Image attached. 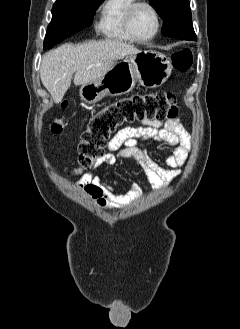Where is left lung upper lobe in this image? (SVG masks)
<instances>
[{
  "mask_svg": "<svg viewBox=\"0 0 240 329\" xmlns=\"http://www.w3.org/2000/svg\"><path fill=\"white\" fill-rule=\"evenodd\" d=\"M164 19L162 34L183 40H196L189 0H149Z\"/></svg>",
  "mask_w": 240,
  "mask_h": 329,
  "instance_id": "1",
  "label": "left lung upper lobe"
}]
</instances>
